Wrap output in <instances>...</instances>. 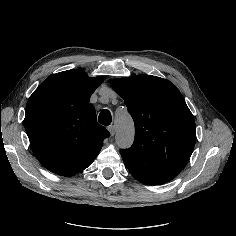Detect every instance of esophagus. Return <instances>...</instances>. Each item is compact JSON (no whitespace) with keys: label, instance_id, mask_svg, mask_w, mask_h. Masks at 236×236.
Instances as JSON below:
<instances>
[{"label":"esophagus","instance_id":"obj_1","mask_svg":"<svg viewBox=\"0 0 236 236\" xmlns=\"http://www.w3.org/2000/svg\"><path fill=\"white\" fill-rule=\"evenodd\" d=\"M108 130H109L111 136H114V135H115L116 129H115V126H114V125L109 126V127H108Z\"/></svg>","mask_w":236,"mask_h":236}]
</instances>
